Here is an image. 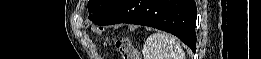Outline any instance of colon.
Wrapping results in <instances>:
<instances>
[{"label": "colon", "mask_w": 261, "mask_h": 59, "mask_svg": "<svg viewBox=\"0 0 261 59\" xmlns=\"http://www.w3.org/2000/svg\"><path fill=\"white\" fill-rule=\"evenodd\" d=\"M115 45L124 59L134 58V51L129 41L125 39H118Z\"/></svg>", "instance_id": "5ec220e1"}]
</instances>
